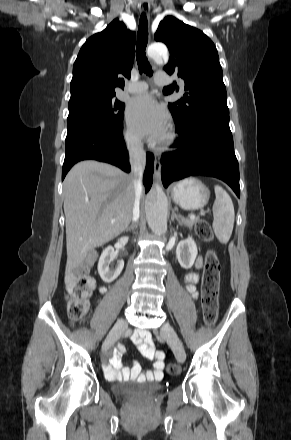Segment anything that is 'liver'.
Here are the masks:
<instances>
[{"label":"liver","instance_id":"obj_1","mask_svg":"<svg viewBox=\"0 0 291 440\" xmlns=\"http://www.w3.org/2000/svg\"><path fill=\"white\" fill-rule=\"evenodd\" d=\"M63 196L68 274L84 261L90 249L104 245L128 228L135 187L131 175L112 165L86 160L66 175Z\"/></svg>","mask_w":291,"mask_h":440}]
</instances>
